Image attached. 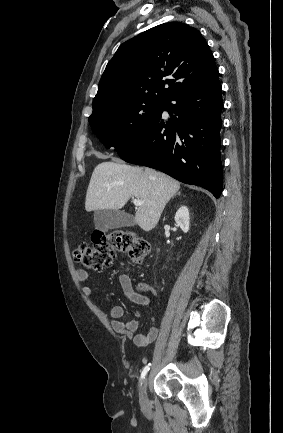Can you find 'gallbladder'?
<instances>
[{"instance_id":"gallbladder-1","label":"gallbladder","mask_w":283,"mask_h":433,"mask_svg":"<svg viewBox=\"0 0 283 433\" xmlns=\"http://www.w3.org/2000/svg\"><path fill=\"white\" fill-rule=\"evenodd\" d=\"M95 229L107 233L109 229H120V227H134L136 225L132 214L115 208H100L94 210Z\"/></svg>"}]
</instances>
